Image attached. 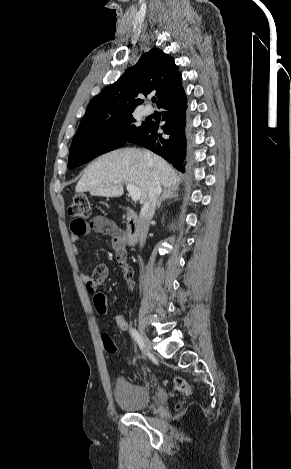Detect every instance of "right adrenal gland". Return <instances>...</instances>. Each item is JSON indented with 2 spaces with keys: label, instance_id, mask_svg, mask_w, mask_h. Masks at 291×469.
Segmentation results:
<instances>
[{
  "label": "right adrenal gland",
  "instance_id": "1",
  "mask_svg": "<svg viewBox=\"0 0 291 469\" xmlns=\"http://www.w3.org/2000/svg\"><path fill=\"white\" fill-rule=\"evenodd\" d=\"M177 190H178L177 186L164 188L163 193L157 202V209L160 208V205L164 200L170 199V198H177L178 197V194L176 193Z\"/></svg>",
  "mask_w": 291,
  "mask_h": 469
}]
</instances>
